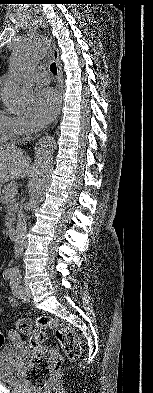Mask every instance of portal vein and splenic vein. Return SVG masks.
Instances as JSON below:
<instances>
[{
  "label": "portal vein and splenic vein",
  "mask_w": 153,
  "mask_h": 393,
  "mask_svg": "<svg viewBox=\"0 0 153 393\" xmlns=\"http://www.w3.org/2000/svg\"><path fill=\"white\" fill-rule=\"evenodd\" d=\"M16 192H17V188L16 187H14V188H12L11 190H10V192H9V196H14V195H16Z\"/></svg>",
  "instance_id": "1"
}]
</instances>
